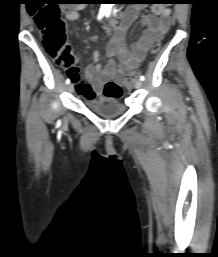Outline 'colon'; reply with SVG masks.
Listing matches in <instances>:
<instances>
[{"label": "colon", "instance_id": "1", "mask_svg": "<svg viewBox=\"0 0 218 257\" xmlns=\"http://www.w3.org/2000/svg\"><path fill=\"white\" fill-rule=\"evenodd\" d=\"M61 5H26V10H33L36 25L41 32L42 41L49 54L61 65L68 67V72L72 76L79 73V68L75 65L74 56L69 46L66 44L65 24L60 17ZM160 44L157 42L152 47V53H157ZM138 73L131 72L125 82L126 88L130 89L136 80ZM102 98H124V86L113 79H108L102 83Z\"/></svg>", "mask_w": 218, "mask_h": 257}]
</instances>
